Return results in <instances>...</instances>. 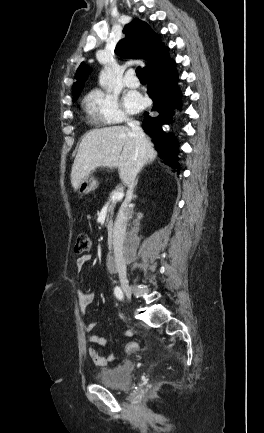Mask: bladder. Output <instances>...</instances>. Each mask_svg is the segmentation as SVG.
Listing matches in <instances>:
<instances>
[{"instance_id":"obj_1","label":"bladder","mask_w":264,"mask_h":433,"mask_svg":"<svg viewBox=\"0 0 264 433\" xmlns=\"http://www.w3.org/2000/svg\"><path fill=\"white\" fill-rule=\"evenodd\" d=\"M133 365L123 363L114 368H103L99 372V382L109 388L126 389L132 382Z\"/></svg>"}]
</instances>
